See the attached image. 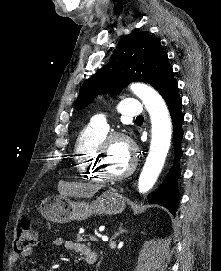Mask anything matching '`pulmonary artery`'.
I'll return each instance as SVG.
<instances>
[{"label":"pulmonary artery","mask_w":221,"mask_h":271,"mask_svg":"<svg viewBox=\"0 0 221 271\" xmlns=\"http://www.w3.org/2000/svg\"><path fill=\"white\" fill-rule=\"evenodd\" d=\"M142 102H136V98H125V102H120L118 112L121 117H137V112H144ZM108 112H98V117H92V122H87V127H108V122H114V117H108ZM109 128H80V138H97V133H109Z\"/></svg>","instance_id":"e3ab8cb5"}]
</instances>
